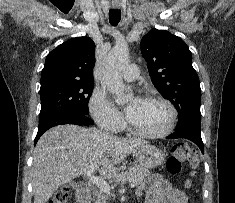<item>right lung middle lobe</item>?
I'll use <instances>...</instances> for the list:
<instances>
[{
	"label": "right lung middle lobe",
	"instance_id": "right-lung-middle-lobe-1",
	"mask_svg": "<svg viewBox=\"0 0 235 203\" xmlns=\"http://www.w3.org/2000/svg\"><path fill=\"white\" fill-rule=\"evenodd\" d=\"M92 91L93 81H59L41 86L39 119L64 111L88 115Z\"/></svg>",
	"mask_w": 235,
	"mask_h": 203
}]
</instances>
